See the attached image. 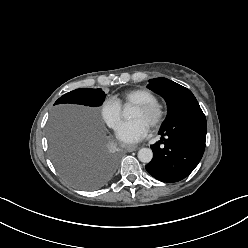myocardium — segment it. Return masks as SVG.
Returning a JSON list of instances; mask_svg holds the SVG:
<instances>
[{"instance_id": "1", "label": "myocardium", "mask_w": 248, "mask_h": 248, "mask_svg": "<svg viewBox=\"0 0 248 248\" xmlns=\"http://www.w3.org/2000/svg\"><path fill=\"white\" fill-rule=\"evenodd\" d=\"M135 108L144 113L151 114V120L148 125L150 128L155 129L162 124L165 117V109L163 104L157 99L135 104Z\"/></svg>"}]
</instances>
